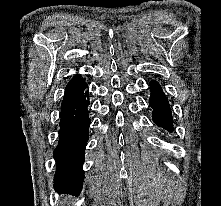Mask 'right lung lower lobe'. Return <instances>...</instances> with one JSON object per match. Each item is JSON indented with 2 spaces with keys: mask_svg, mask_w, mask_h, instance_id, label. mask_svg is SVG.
<instances>
[{
  "mask_svg": "<svg viewBox=\"0 0 221 206\" xmlns=\"http://www.w3.org/2000/svg\"><path fill=\"white\" fill-rule=\"evenodd\" d=\"M87 87L79 76L67 84L61 104L59 142L54 151L57 162L54 188L72 195H78L83 185L82 166L91 122Z\"/></svg>",
  "mask_w": 221,
  "mask_h": 206,
  "instance_id": "98d812e1",
  "label": "right lung lower lobe"
}]
</instances>
